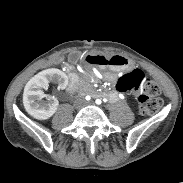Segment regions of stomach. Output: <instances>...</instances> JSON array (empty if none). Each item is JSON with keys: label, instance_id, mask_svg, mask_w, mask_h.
Masks as SVG:
<instances>
[{"label": "stomach", "instance_id": "obj_1", "mask_svg": "<svg viewBox=\"0 0 183 183\" xmlns=\"http://www.w3.org/2000/svg\"><path fill=\"white\" fill-rule=\"evenodd\" d=\"M103 61L100 64L101 68H109L112 71H124L128 70L131 66L130 60L121 55H110V56H103Z\"/></svg>", "mask_w": 183, "mask_h": 183}]
</instances>
